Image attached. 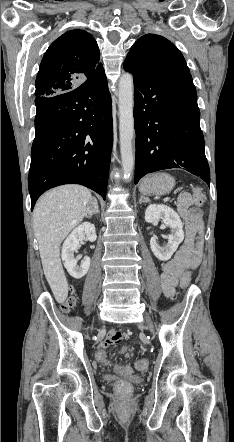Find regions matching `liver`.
Segmentation results:
<instances>
[{
	"mask_svg": "<svg viewBox=\"0 0 234 442\" xmlns=\"http://www.w3.org/2000/svg\"><path fill=\"white\" fill-rule=\"evenodd\" d=\"M90 191L80 185H64L46 192L33 211V226L39 245L44 275L58 303L68 296V283L60 259V245L79 224L91 200Z\"/></svg>",
	"mask_w": 234,
	"mask_h": 442,
	"instance_id": "6515ba94",
	"label": "liver"
}]
</instances>
